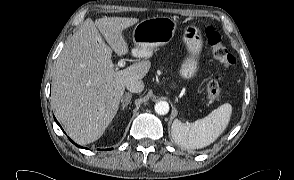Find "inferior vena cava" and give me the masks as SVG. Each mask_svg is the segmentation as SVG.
Returning <instances> with one entry per match:
<instances>
[{
    "label": "inferior vena cava",
    "instance_id": "obj_1",
    "mask_svg": "<svg viewBox=\"0 0 294 180\" xmlns=\"http://www.w3.org/2000/svg\"><path fill=\"white\" fill-rule=\"evenodd\" d=\"M126 88L132 93H140L144 90V83L142 80H131L126 84Z\"/></svg>",
    "mask_w": 294,
    "mask_h": 180
}]
</instances>
